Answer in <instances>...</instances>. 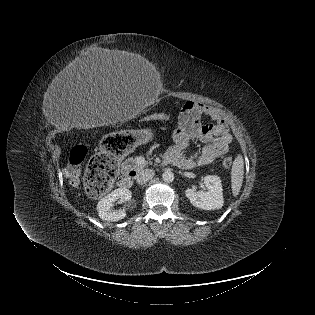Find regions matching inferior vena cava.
I'll return each mask as SVG.
<instances>
[{"instance_id":"inferior-vena-cava-1","label":"inferior vena cava","mask_w":315,"mask_h":315,"mask_svg":"<svg viewBox=\"0 0 315 315\" xmlns=\"http://www.w3.org/2000/svg\"><path fill=\"white\" fill-rule=\"evenodd\" d=\"M154 170L152 169H144L136 177V181L138 184H144L148 182L150 179L154 177Z\"/></svg>"}]
</instances>
